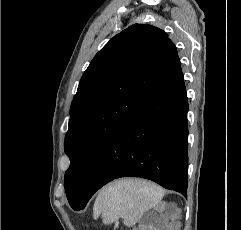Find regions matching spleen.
<instances>
[{"label": "spleen", "instance_id": "spleen-1", "mask_svg": "<svg viewBox=\"0 0 241 230\" xmlns=\"http://www.w3.org/2000/svg\"><path fill=\"white\" fill-rule=\"evenodd\" d=\"M164 196L158 185L139 179H121L110 183L98 194L93 208L94 219L100 215L105 224L120 217L128 227L135 225L143 213L155 207Z\"/></svg>", "mask_w": 241, "mask_h": 230}]
</instances>
